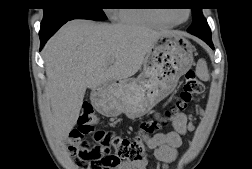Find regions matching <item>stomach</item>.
Returning a JSON list of instances; mask_svg holds the SVG:
<instances>
[{"mask_svg": "<svg viewBox=\"0 0 252 169\" xmlns=\"http://www.w3.org/2000/svg\"><path fill=\"white\" fill-rule=\"evenodd\" d=\"M193 52V45L181 34L161 36L147 53L139 76L96 88L94 106L106 116L142 117L175 89L192 66Z\"/></svg>", "mask_w": 252, "mask_h": 169, "instance_id": "stomach-1", "label": "stomach"}]
</instances>
